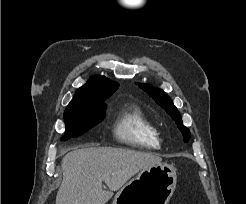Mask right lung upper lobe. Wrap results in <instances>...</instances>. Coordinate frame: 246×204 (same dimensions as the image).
Segmentation results:
<instances>
[{
  "instance_id": "obj_1",
  "label": "right lung upper lobe",
  "mask_w": 246,
  "mask_h": 204,
  "mask_svg": "<svg viewBox=\"0 0 246 204\" xmlns=\"http://www.w3.org/2000/svg\"><path fill=\"white\" fill-rule=\"evenodd\" d=\"M119 87L115 82H112L103 76H93L88 82L80 87L68 106L80 105L92 98L109 97Z\"/></svg>"
}]
</instances>
